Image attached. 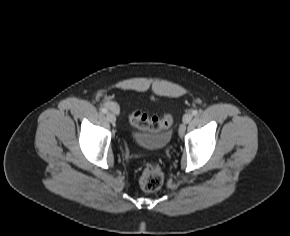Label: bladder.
Here are the masks:
<instances>
[{"mask_svg":"<svg viewBox=\"0 0 290 236\" xmlns=\"http://www.w3.org/2000/svg\"><path fill=\"white\" fill-rule=\"evenodd\" d=\"M131 139L139 147L147 150L164 149L171 140V132L163 131L156 134L132 132Z\"/></svg>","mask_w":290,"mask_h":236,"instance_id":"31cf9c89","label":"bladder"}]
</instances>
